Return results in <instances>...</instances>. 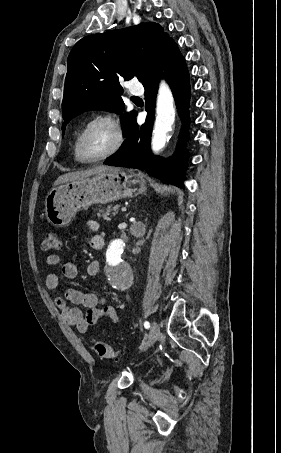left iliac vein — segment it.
Segmentation results:
<instances>
[{"label":"left iliac vein","mask_w":281,"mask_h":453,"mask_svg":"<svg viewBox=\"0 0 281 453\" xmlns=\"http://www.w3.org/2000/svg\"><path fill=\"white\" fill-rule=\"evenodd\" d=\"M151 325H152V326H151V328H150L149 337H148V339H147L148 342H149L150 344H151V343H154V342L157 340L158 335H159V328H158V326H157L154 322H153ZM148 342H147L146 344H143V345L141 346L142 351H146V350L148 349V346L150 345ZM142 351H141V352H142Z\"/></svg>","instance_id":"4c4485c4"}]
</instances>
